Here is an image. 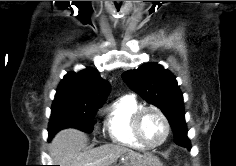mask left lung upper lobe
<instances>
[{
	"label": "left lung upper lobe",
	"mask_w": 236,
	"mask_h": 166,
	"mask_svg": "<svg viewBox=\"0 0 236 166\" xmlns=\"http://www.w3.org/2000/svg\"><path fill=\"white\" fill-rule=\"evenodd\" d=\"M122 77L144 100L160 108L169 123L185 124L183 95L170 71L157 63H147L124 72Z\"/></svg>",
	"instance_id": "left-lung-upper-lobe-1"
}]
</instances>
